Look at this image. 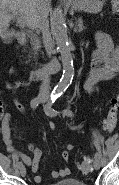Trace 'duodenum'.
<instances>
[{"mask_svg":"<svg viewBox=\"0 0 119 185\" xmlns=\"http://www.w3.org/2000/svg\"><path fill=\"white\" fill-rule=\"evenodd\" d=\"M27 37L24 33H19L17 35V43L20 46L26 44ZM61 68L60 61L58 59H53L49 63L45 64L41 68L32 69L30 71V78L32 80H40L47 76L56 74Z\"/></svg>","mask_w":119,"mask_h":185,"instance_id":"obj_1","label":"duodenum"}]
</instances>
